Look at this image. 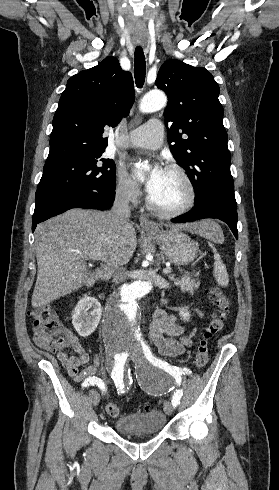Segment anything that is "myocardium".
Returning <instances> with one entry per match:
<instances>
[{"instance_id": "myocardium-1", "label": "myocardium", "mask_w": 279, "mask_h": 490, "mask_svg": "<svg viewBox=\"0 0 279 490\" xmlns=\"http://www.w3.org/2000/svg\"><path fill=\"white\" fill-rule=\"evenodd\" d=\"M166 171L176 174L185 184L187 190L186 199L177 207L168 209L156 204L152 198L148 200L149 209L156 215L163 218H175L189 211L196 201V189L194 183L187 172L177 164H171L166 167Z\"/></svg>"}]
</instances>
